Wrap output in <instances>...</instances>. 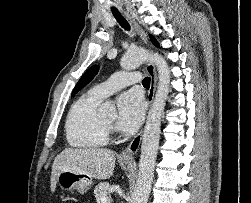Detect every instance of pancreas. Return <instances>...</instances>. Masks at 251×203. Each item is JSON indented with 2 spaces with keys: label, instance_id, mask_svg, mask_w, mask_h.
<instances>
[{
  "label": "pancreas",
  "instance_id": "1",
  "mask_svg": "<svg viewBox=\"0 0 251 203\" xmlns=\"http://www.w3.org/2000/svg\"><path fill=\"white\" fill-rule=\"evenodd\" d=\"M110 189V184L108 182H101L94 189V195L97 203H101L103 197H107Z\"/></svg>",
  "mask_w": 251,
  "mask_h": 203
}]
</instances>
